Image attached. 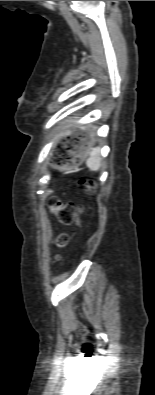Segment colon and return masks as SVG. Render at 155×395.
Masks as SVG:
<instances>
[{"label": "colon", "instance_id": "5ec220e1", "mask_svg": "<svg viewBox=\"0 0 155 395\" xmlns=\"http://www.w3.org/2000/svg\"><path fill=\"white\" fill-rule=\"evenodd\" d=\"M48 206L60 224L70 226L79 222V208L74 203H63L58 198L51 197L48 200ZM67 241L65 234H59L55 238V244L59 248L64 247Z\"/></svg>", "mask_w": 155, "mask_h": 395}]
</instances>
